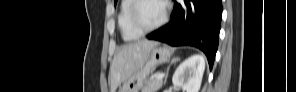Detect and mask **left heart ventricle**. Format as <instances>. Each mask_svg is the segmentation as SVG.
Wrapping results in <instances>:
<instances>
[{
    "label": "left heart ventricle",
    "instance_id": "obj_1",
    "mask_svg": "<svg viewBox=\"0 0 296 92\" xmlns=\"http://www.w3.org/2000/svg\"><path fill=\"white\" fill-rule=\"evenodd\" d=\"M163 16V5L159 1H145L139 8L138 18L143 26L156 24Z\"/></svg>",
    "mask_w": 296,
    "mask_h": 92
}]
</instances>
